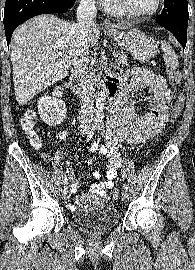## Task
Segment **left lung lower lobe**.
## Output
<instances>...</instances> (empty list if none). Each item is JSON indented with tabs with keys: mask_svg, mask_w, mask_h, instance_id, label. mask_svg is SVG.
Instances as JSON below:
<instances>
[{
	"mask_svg": "<svg viewBox=\"0 0 195 270\" xmlns=\"http://www.w3.org/2000/svg\"><path fill=\"white\" fill-rule=\"evenodd\" d=\"M188 18L187 0H164V9L156 21L171 31L184 49L187 42Z\"/></svg>",
	"mask_w": 195,
	"mask_h": 270,
	"instance_id": "1",
	"label": "left lung lower lobe"
}]
</instances>
